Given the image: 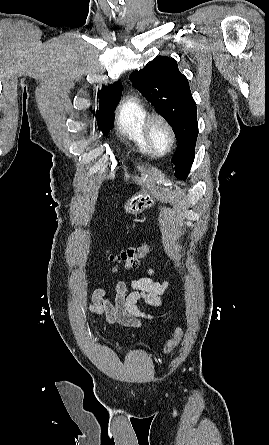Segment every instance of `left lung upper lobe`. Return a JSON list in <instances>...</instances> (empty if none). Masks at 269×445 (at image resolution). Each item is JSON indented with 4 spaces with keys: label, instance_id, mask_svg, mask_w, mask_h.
<instances>
[{
    "label": "left lung upper lobe",
    "instance_id": "obj_1",
    "mask_svg": "<svg viewBox=\"0 0 269 445\" xmlns=\"http://www.w3.org/2000/svg\"><path fill=\"white\" fill-rule=\"evenodd\" d=\"M133 86L172 126L178 145L171 159L177 177H185L195 157L198 136L196 103L175 59L160 57L130 75Z\"/></svg>",
    "mask_w": 269,
    "mask_h": 445
}]
</instances>
